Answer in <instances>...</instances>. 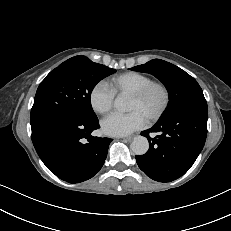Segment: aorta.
Masks as SVG:
<instances>
[{"instance_id":"1","label":"aorta","mask_w":231,"mask_h":231,"mask_svg":"<svg viewBox=\"0 0 231 231\" xmlns=\"http://www.w3.org/2000/svg\"><path fill=\"white\" fill-rule=\"evenodd\" d=\"M114 106L118 111L125 112L128 110V102L125 98L118 96L114 101ZM131 149L136 155H143L149 149V142L144 136L134 137L131 143Z\"/></svg>"}]
</instances>
